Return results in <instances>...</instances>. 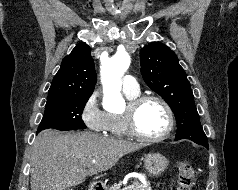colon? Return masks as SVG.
Here are the masks:
<instances>
[{
    "label": "colon",
    "mask_w": 238,
    "mask_h": 190,
    "mask_svg": "<svg viewBox=\"0 0 238 190\" xmlns=\"http://www.w3.org/2000/svg\"><path fill=\"white\" fill-rule=\"evenodd\" d=\"M177 190H192L196 181V170L187 162H178Z\"/></svg>",
    "instance_id": "colon-1"
}]
</instances>
